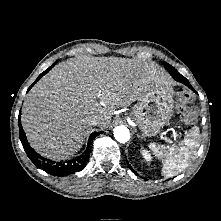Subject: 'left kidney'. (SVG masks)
<instances>
[{"instance_id":"left-kidney-1","label":"left kidney","mask_w":221,"mask_h":221,"mask_svg":"<svg viewBox=\"0 0 221 221\" xmlns=\"http://www.w3.org/2000/svg\"><path fill=\"white\" fill-rule=\"evenodd\" d=\"M141 154L146 161H151L152 157H151L149 151H147L146 149H142Z\"/></svg>"}]
</instances>
